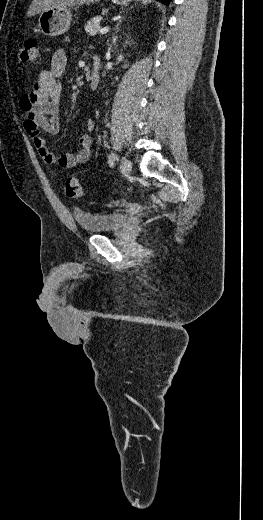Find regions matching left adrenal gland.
Masks as SVG:
<instances>
[{
    "mask_svg": "<svg viewBox=\"0 0 263 520\" xmlns=\"http://www.w3.org/2000/svg\"><path fill=\"white\" fill-rule=\"evenodd\" d=\"M121 22H122V20H120L119 23L117 24V27H116L117 31L119 30L118 27H119V25L121 24Z\"/></svg>",
    "mask_w": 263,
    "mask_h": 520,
    "instance_id": "obj_1",
    "label": "left adrenal gland"
}]
</instances>
